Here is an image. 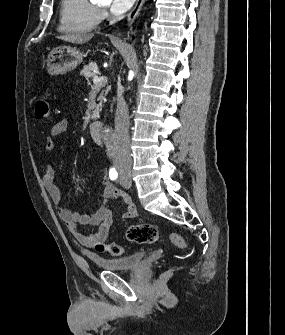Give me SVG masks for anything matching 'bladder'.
I'll use <instances>...</instances> for the list:
<instances>
[{"label":"bladder","mask_w":285,"mask_h":335,"mask_svg":"<svg viewBox=\"0 0 285 335\" xmlns=\"http://www.w3.org/2000/svg\"><path fill=\"white\" fill-rule=\"evenodd\" d=\"M145 258V251H136L123 257L93 258L92 264L99 265L105 272L130 273L138 269Z\"/></svg>","instance_id":"31cf9c89"}]
</instances>
